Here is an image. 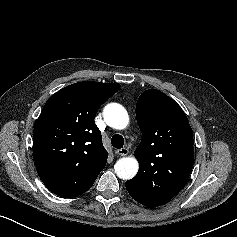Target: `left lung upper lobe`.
I'll return each mask as SVG.
<instances>
[{"mask_svg":"<svg viewBox=\"0 0 237 237\" xmlns=\"http://www.w3.org/2000/svg\"><path fill=\"white\" fill-rule=\"evenodd\" d=\"M136 116L142 132L135 150L139 171L126 189L134 200L154 208L186 185L194 159L193 133L178 103L157 89L140 95Z\"/></svg>","mask_w":237,"mask_h":237,"instance_id":"5c2ea615","label":"left lung upper lobe"}]
</instances>
